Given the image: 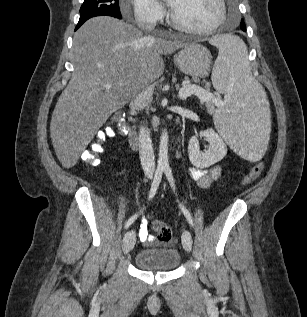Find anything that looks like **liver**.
Masks as SVG:
<instances>
[{
    "label": "liver",
    "mask_w": 307,
    "mask_h": 317,
    "mask_svg": "<svg viewBox=\"0 0 307 317\" xmlns=\"http://www.w3.org/2000/svg\"><path fill=\"white\" fill-rule=\"evenodd\" d=\"M184 46L181 40H149L135 26L108 16L85 22L74 35V71L50 122L62 166H74L109 116L163 74L162 54ZM106 83L112 87L105 89Z\"/></svg>",
    "instance_id": "1"
}]
</instances>
